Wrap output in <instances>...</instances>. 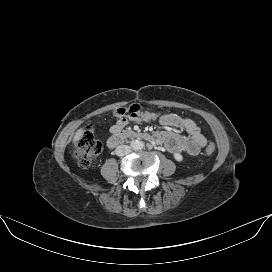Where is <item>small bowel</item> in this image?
<instances>
[{
  "label": "small bowel",
  "instance_id": "1",
  "mask_svg": "<svg viewBox=\"0 0 272 272\" xmlns=\"http://www.w3.org/2000/svg\"><path fill=\"white\" fill-rule=\"evenodd\" d=\"M159 122L164 127L179 128L186 132V135H181L172 130H164L154 134L155 140L172 153L186 152L190 155H197L207 143L199 127L189 118L177 114H163L159 117ZM127 123V119L120 118L112 127V133L124 128Z\"/></svg>",
  "mask_w": 272,
  "mask_h": 272
}]
</instances>
